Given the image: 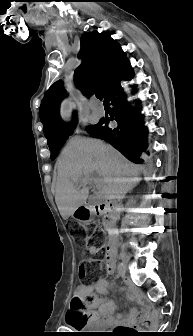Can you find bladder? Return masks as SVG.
<instances>
[{"mask_svg": "<svg viewBox=\"0 0 193 336\" xmlns=\"http://www.w3.org/2000/svg\"><path fill=\"white\" fill-rule=\"evenodd\" d=\"M83 328L86 330H100L103 329L102 323L95 321V322H89L83 325Z\"/></svg>", "mask_w": 193, "mask_h": 336, "instance_id": "obj_1", "label": "bladder"}]
</instances>
